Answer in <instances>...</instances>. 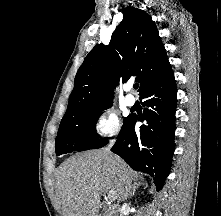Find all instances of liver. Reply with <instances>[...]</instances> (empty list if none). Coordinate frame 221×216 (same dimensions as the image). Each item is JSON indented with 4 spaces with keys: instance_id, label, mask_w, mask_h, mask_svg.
I'll use <instances>...</instances> for the list:
<instances>
[{
    "instance_id": "6515ba94",
    "label": "liver",
    "mask_w": 221,
    "mask_h": 216,
    "mask_svg": "<svg viewBox=\"0 0 221 216\" xmlns=\"http://www.w3.org/2000/svg\"><path fill=\"white\" fill-rule=\"evenodd\" d=\"M138 176L107 149L91 150L64 161L56 172L62 216H98L101 193L117 205L138 187Z\"/></svg>"
}]
</instances>
